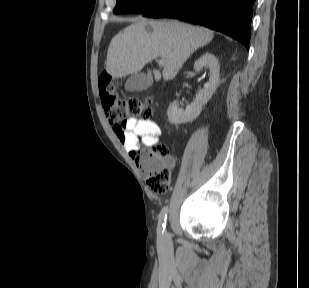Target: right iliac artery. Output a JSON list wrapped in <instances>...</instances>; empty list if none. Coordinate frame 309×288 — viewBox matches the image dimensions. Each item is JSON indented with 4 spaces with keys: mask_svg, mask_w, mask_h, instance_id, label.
Masks as SVG:
<instances>
[{
    "mask_svg": "<svg viewBox=\"0 0 309 288\" xmlns=\"http://www.w3.org/2000/svg\"><path fill=\"white\" fill-rule=\"evenodd\" d=\"M167 212L168 207L164 206L159 214V225H158V232L160 234L165 233V227H166V219H167Z\"/></svg>",
    "mask_w": 309,
    "mask_h": 288,
    "instance_id": "obj_1",
    "label": "right iliac artery"
}]
</instances>
